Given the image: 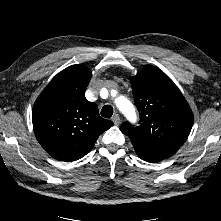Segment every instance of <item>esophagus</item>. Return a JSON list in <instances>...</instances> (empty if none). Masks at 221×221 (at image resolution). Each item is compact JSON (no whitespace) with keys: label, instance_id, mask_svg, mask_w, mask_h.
<instances>
[{"label":"esophagus","instance_id":"esophagus-1","mask_svg":"<svg viewBox=\"0 0 221 221\" xmlns=\"http://www.w3.org/2000/svg\"><path fill=\"white\" fill-rule=\"evenodd\" d=\"M112 121H113V123L115 124V126H118V125L121 123L120 116H119L118 114H115V115L112 117Z\"/></svg>","mask_w":221,"mask_h":221}]
</instances>
